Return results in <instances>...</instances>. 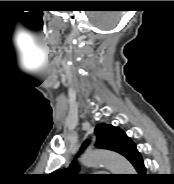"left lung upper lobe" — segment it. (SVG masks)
Listing matches in <instances>:
<instances>
[{"instance_id": "5c2ea615", "label": "left lung upper lobe", "mask_w": 174, "mask_h": 184, "mask_svg": "<svg viewBox=\"0 0 174 184\" xmlns=\"http://www.w3.org/2000/svg\"><path fill=\"white\" fill-rule=\"evenodd\" d=\"M95 134L97 137L95 145L97 147L118 152L123 156H125L130 147L134 145L132 140L127 137L120 128L112 125H106L104 123L97 125ZM88 144L89 141H85L80 152H82ZM78 170L79 167L76 164V160H74L67 169L64 171H56L53 174L65 181H77L87 178L86 175L77 174Z\"/></svg>"}]
</instances>
